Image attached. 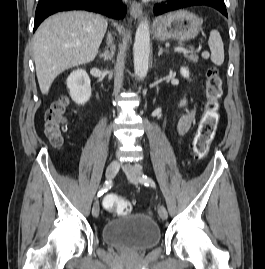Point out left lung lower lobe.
Here are the masks:
<instances>
[{
	"label": "left lung lower lobe",
	"mask_w": 265,
	"mask_h": 269,
	"mask_svg": "<svg viewBox=\"0 0 265 269\" xmlns=\"http://www.w3.org/2000/svg\"><path fill=\"white\" fill-rule=\"evenodd\" d=\"M194 5L210 6L220 11L226 17L228 16L224 0H179L176 2L169 3L168 5L165 6H157L154 8L153 11L156 15H160L166 12Z\"/></svg>",
	"instance_id": "left-lung-lower-lobe-1"
}]
</instances>
